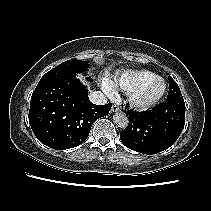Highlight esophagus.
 I'll return each mask as SVG.
<instances>
[{
	"mask_svg": "<svg viewBox=\"0 0 211 211\" xmlns=\"http://www.w3.org/2000/svg\"><path fill=\"white\" fill-rule=\"evenodd\" d=\"M121 110V108L118 106V105H116V104H114L113 106H112V108H111V111L112 112H117V111H120Z\"/></svg>",
	"mask_w": 211,
	"mask_h": 211,
	"instance_id": "1",
	"label": "esophagus"
}]
</instances>
